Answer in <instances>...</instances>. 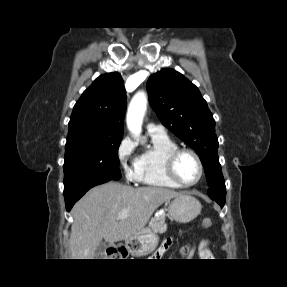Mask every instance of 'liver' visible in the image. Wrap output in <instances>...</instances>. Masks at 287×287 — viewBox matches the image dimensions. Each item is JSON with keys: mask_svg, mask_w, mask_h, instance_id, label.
Wrapping results in <instances>:
<instances>
[{"mask_svg": "<svg viewBox=\"0 0 287 287\" xmlns=\"http://www.w3.org/2000/svg\"><path fill=\"white\" fill-rule=\"evenodd\" d=\"M181 193L161 187H140L108 182L92 188L72 210L74 222L70 234L72 259H95L102 239L109 244L144 229L154 211ZM128 210L126 218L119 212Z\"/></svg>", "mask_w": 287, "mask_h": 287, "instance_id": "liver-1", "label": "liver"}]
</instances>
